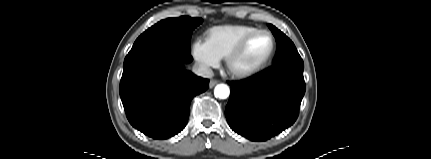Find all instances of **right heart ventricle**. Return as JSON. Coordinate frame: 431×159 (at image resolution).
Listing matches in <instances>:
<instances>
[{
	"label": "right heart ventricle",
	"mask_w": 431,
	"mask_h": 159,
	"mask_svg": "<svg viewBox=\"0 0 431 159\" xmlns=\"http://www.w3.org/2000/svg\"><path fill=\"white\" fill-rule=\"evenodd\" d=\"M258 28L250 25H220L205 32V42L219 59H225L247 34Z\"/></svg>",
	"instance_id": "1"
}]
</instances>
